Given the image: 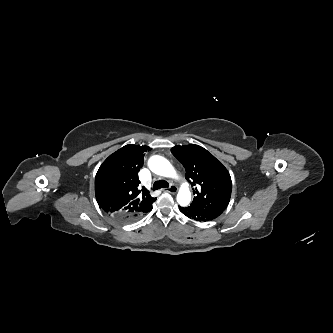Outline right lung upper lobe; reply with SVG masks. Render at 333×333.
Here are the masks:
<instances>
[{"label":"right lung upper lobe","mask_w":333,"mask_h":333,"mask_svg":"<svg viewBox=\"0 0 333 333\" xmlns=\"http://www.w3.org/2000/svg\"><path fill=\"white\" fill-rule=\"evenodd\" d=\"M146 146L126 145L111 154L95 177V195L100 208L110 216L140 215L156 198L146 188L138 189V172Z\"/></svg>","instance_id":"cb5924a9"}]
</instances>
